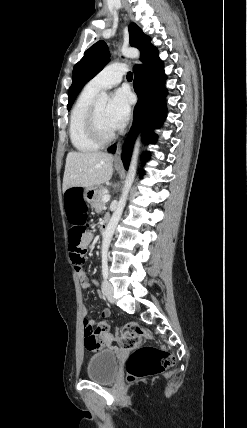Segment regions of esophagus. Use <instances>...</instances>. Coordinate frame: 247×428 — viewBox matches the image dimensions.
Instances as JSON below:
<instances>
[{
	"label": "esophagus",
	"mask_w": 247,
	"mask_h": 428,
	"mask_svg": "<svg viewBox=\"0 0 247 428\" xmlns=\"http://www.w3.org/2000/svg\"><path fill=\"white\" fill-rule=\"evenodd\" d=\"M122 59L125 62H128V59L126 57H122ZM128 133H129V130L126 132V134L121 138V140L117 144V148H116V152H115V160H114L115 164H117V165H122L121 156H122L123 147H124V144L126 142Z\"/></svg>",
	"instance_id": "esophagus-1"
}]
</instances>
